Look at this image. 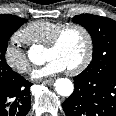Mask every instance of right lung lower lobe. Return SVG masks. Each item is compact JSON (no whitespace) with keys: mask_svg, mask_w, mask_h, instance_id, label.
<instances>
[{"mask_svg":"<svg viewBox=\"0 0 116 116\" xmlns=\"http://www.w3.org/2000/svg\"><path fill=\"white\" fill-rule=\"evenodd\" d=\"M31 85L19 74L0 83V116H25L31 108Z\"/></svg>","mask_w":116,"mask_h":116,"instance_id":"right-lung-lower-lobe-1","label":"right lung lower lobe"}]
</instances>
